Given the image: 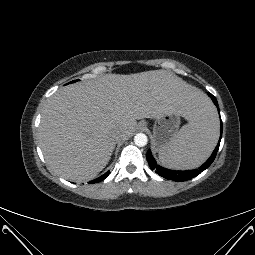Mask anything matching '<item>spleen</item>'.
Wrapping results in <instances>:
<instances>
[{"instance_id": "spleen-1", "label": "spleen", "mask_w": 255, "mask_h": 255, "mask_svg": "<svg viewBox=\"0 0 255 255\" xmlns=\"http://www.w3.org/2000/svg\"><path fill=\"white\" fill-rule=\"evenodd\" d=\"M219 136V119L208 99H202L189 122L159 150L160 162L172 169L201 165L212 153Z\"/></svg>"}]
</instances>
